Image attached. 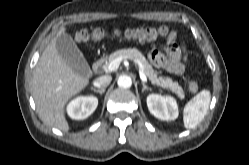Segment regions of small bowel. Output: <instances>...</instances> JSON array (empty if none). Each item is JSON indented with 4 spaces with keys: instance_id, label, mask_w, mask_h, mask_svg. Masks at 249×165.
Wrapping results in <instances>:
<instances>
[{
    "instance_id": "c3829d8e",
    "label": "small bowel",
    "mask_w": 249,
    "mask_h": 165,
    "mask_svg": "<svg viewBox=\"0 0 249 165\" xmlns=\"http://www.w3.org/2000/svg\"><path fill=\"white\" fill-rule=\"evenodd\" d=\"M149 59L157 68L181 75L186 68V55L184 47L178 42L177 33L172 31L168 35L165 54L157 50H152L149 53Z\"/></svg>"
}]
</instances>
